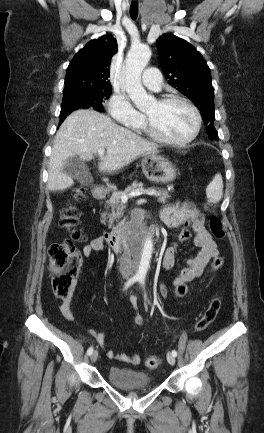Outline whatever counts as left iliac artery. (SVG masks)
<instances>
[{
	"instance_id": "44dca946",
	"label": "left iliac artery",
	"mask_w": 264,
	"mask_h": 433,
	"mask_svg": "<svg viewBox=\"0 0 264 433\" xmlns=\"http://www.w3.org/2000/svg\"><path fill=\"white\" fill-rule=\"evenodd\" d=\"M139 281H140V283H141V284H143V283H144V279H143V278H142V279H140ZM172 355H173L174 357H176V356H177V352H176V350H173V351H172Z\"/></svg>"
}]
</instances>
